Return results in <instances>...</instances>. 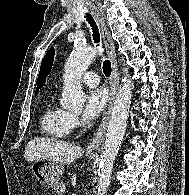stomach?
Listing matches in <instances>:
<instances>
[{"instance_id": "obj_1", "label": "stomach", "mask_w": 189, "mask_h": 195, "mask_svg": "<svg viewBox=\"0 0 189 195\" xmlns=\"http://www.w3.org/2000/svg\"><path fill=\"white\" fill-rule=\"evenodd\" d=\"M86 157L88 159H93L95 154L87 153ZM31 170L40 183L47 186H53L55 183L59 182L64 167L54 160L40 159L31 165Z\"/></svg>"}]
</instances>
